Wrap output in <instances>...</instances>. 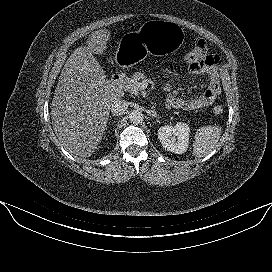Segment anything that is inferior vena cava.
Here are the masks:
<instances>
[{"label":"inferior vena cava","mask_w":272,"mask_h":272,"mask_svg":"<svg viewBox=\"0 0 272 272\" xmlns=\"http://www.w3.org/2000/svg\"><path fill=\"white\" fill-rule=\"evenodd\" d=\"M128 109V103L122 99H116L111 105V112L113 115H121Z\"/></svg>","instance_id":"1"}]
</instances>
